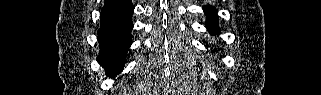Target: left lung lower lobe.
Returning <instances> with one entry per match:
<instances>
[{
	"label": "left lung lower lobe",
	"mask_w": 321,
	"mask_h": 95,
	"mask_svg": "<svg viewBox=\"0 0 321 95\" xmlns=\"http://www.w3.org/2000/svg\"><path fill=\"white\" fill-rule=\"evenodd\" d=\"M204 12L207 16V29L210 31L212 35H215L218 33V26H217V11L213 6H204L203 7Z\"/></svg>",
	"instance_id": "obj_1"
}]
</instances>
